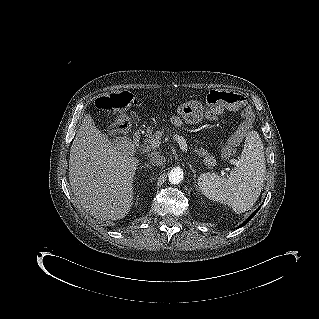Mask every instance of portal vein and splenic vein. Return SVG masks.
Instances as JSON below:
<instances>
[{"label": "portal vein and splenic vein", "instance_id": "18ae733b", "mask_svg": "<svg viewBox=\"0 0 319 319\" xmlns=\"http://www.w3.org/2000/svg\"><path fill=\"white\" fill-rule=\"evenodd\" d=\"M175 140L177 141V143L180 146V149L184 152H187V144L186 141L183 139V137L179 136V135H174ZM232 164H236L235 160H231Z\"/></svg>", "mask_w": 319, "mask_h": 319}]
</instances>
